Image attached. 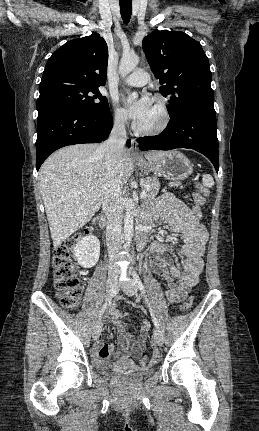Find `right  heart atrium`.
<instances>
[{"mask_svg": "<svg viewBox=\"0 0 259 431\" xmlns=\"http://www.w3.org/2000/svg\"><path fill=\"white\" fill-rule=\"evenodd\" d=\"M113 123L116 127L123 128L127 124V118L123 110L114 105Z\"/></svg>", "mask_w": 259, "mask_h": 431, "instance_id": "1", "label": "right heart atrium"}]
</instances>
